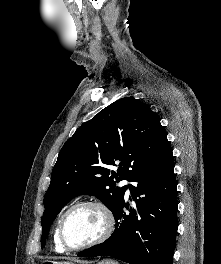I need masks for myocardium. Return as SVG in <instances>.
<instances>
[{"mask_svg": "<svg viewBox=\"0 0 221 264\" xmlns=\"http://www.w3.org/2000/svg\"><path fill=\"white\" fill-rule=\"evenodd\" d=\"M84 206L93 207L101 213V215L104 219V229H103V232L101 233V235L98 238H96L95 240H93L89 243L80 245V246H71L67 242L65 235H64L65 221H66V218L68 217V215L73 210H75L76 208H79V207H84ZM114 228H115L114 214H113L112 210L108 207V205H106L101 200L85 199V200H81V201L74 203L63 213V215L61 216V218L59 220V224H58V237H59L61 245L66 250L81 251L84 249H88V248L97 246V245L103 243L104 241H106L111 236V234L113 233Z\"/></svg>", "mask_w": 221, "mask_h": 264, "instance_id": "obj_1", "label": "myocardium"}]
</instances>
